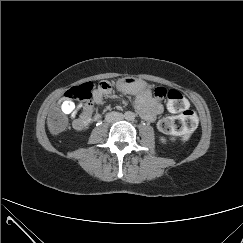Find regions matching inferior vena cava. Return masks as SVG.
<instances>
[{"label":"inferior vena cava","mask_w":243,"mask_h":243,"mask_svg":"<svg viewBox=\"0 0 243 243\" xmlns=\"http://www.w3.org/2000/svg\"><path fill=\"white\" fill-rule=\"evenodd\" d=\"M106 120H107L108 122H111V121H112L111 119H108V118H107Z\"/></svg>","instance_id":"inferior-vena-cava-1"}]
</instances>
